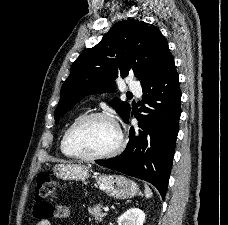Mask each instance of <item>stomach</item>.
Listing matches in <instances>:
<instances>
[{"instance_id":"1","label":"stomach","mask_w":228,"mask_h":225,"mask_svg":"<svg viewBox=\"0 0 228 225\" xmlns=\"http://www.w3.org/2000/svg\"><path fill=\"white\" fill-rule=\"evenodd\" d=\"M52 171L58 179L86 181L90 177L86 165H55ZM96 185L100 191L114 199H132L140 193L138 185L122 175H99L96 177Z\"/></svg>"}]
</instances>
